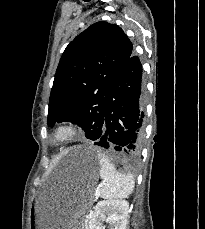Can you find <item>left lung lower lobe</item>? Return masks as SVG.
I'll use <instances>...</instances> for the list:
<instances>
[{"label": "left lung lower lobe", "instance_id": "obj_1", "mask_svg": "<svg viewBox=\"0 0 205 229\" xmlns=\"http://www.w3.org/2000/svg\"><path fill=\"white\" fill-rule=\"evenodd\" d=\"M143 126L142 65L131 55L108 93L102 122L88 136L95 145L121 151L134 160L140 154Z\"/></svg>", "mask_w": 205, "mask_h": 229}]
</instances>
